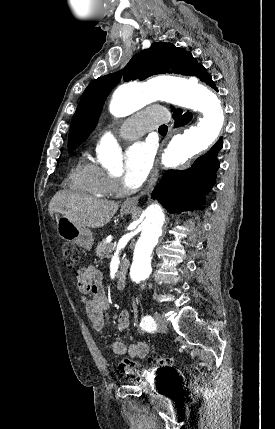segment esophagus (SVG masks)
Wrapping results in <instances>:
<instances>
[{
    "label": "esophagus",
    "instance_id": "34e87169",
    "mask_svg": "<svg viewBox=\"0 0 275 429\" xmlns=\"http://www.w3.org/2000/svg\"><path fill=\"white\" fill-rule=\"evenodd\" d=\"M173 131H174V129L171 126L170 129H169L168 136H171V134L173 133ZM164 145H165V141L161 145L160 153L162 152V149H163ZM158 175H159V159H157V161L155 163V166H154V168L152 170V173L150 175V178H149V180H148L147 185L145 186V188L138 195L126 199L123 202V206L124 207H130V208L137 207L139 199L142 196L148 194L154 188V186L156 184V181H157V178H158Z\"/></svg>",
    "mask_w": 275,
    "mask_h": 429
}]
</instances>
